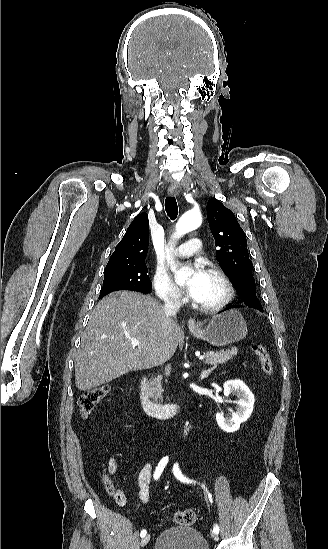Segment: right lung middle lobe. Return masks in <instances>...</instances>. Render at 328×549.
<instances>
[{
	"mask_svg": "<svg viewBox=\"0 0 328 549\" xmlns=\"http://www.w3.org/2000/svg\"><path fill=\"white\" fill-rule=\"evenodd\" d=\"M145 261L137 262L104 272V281L99 299L117 290H131L148 293L152 283L147 275Z\"/></svg>",
	"mask_w": 328,
	"mask_h": 549,
	"instance_id": "right-lung-middle-lobe-1",
	"label": "right lung middle lobe"
}]
</instances>
